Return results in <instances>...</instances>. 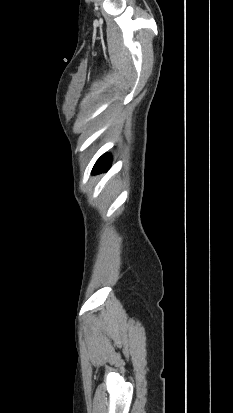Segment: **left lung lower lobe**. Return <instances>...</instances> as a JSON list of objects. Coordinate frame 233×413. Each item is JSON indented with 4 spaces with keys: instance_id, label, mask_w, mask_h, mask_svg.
<instances>
[{
    "instance_id": "0a47b994",
    "label": "left lung lower lobe",
    "mask_w": 233,
    "mask_h": 413,
    "mask_svg": "<svg viewBox=\"0 0 233 413\" xmlns=\"http://www.w3.org/2000/svg\"><path fill=\"white\" fill-rule=\"evenodd\" d=\"M111 164V158L109 154H105L103 156H101L98 161L96 162L94 168H93V172L97 173V172H103L106 171Z\"/></svg>"
}]
</instances>
